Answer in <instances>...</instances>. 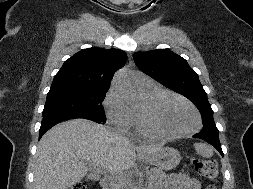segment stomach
I'll use <instances>...</instances> for the list:
<instances>
[{"label": "stomach", "instance_id": "obj_1", "mask_svg": "<svg viewBox=\"0 0 253 189\" xmlns=\"http://www.w3.org/2000/svg\"><path fill=\"white\" fill-rule=\"evenodd\" d=\"M146 160L159 169L169 170L179 164L181 156L177 149L164 147L159 152L146 156Z\"/></svg>", "mask_w": 253, "mask_h": 189}]
</instances>
